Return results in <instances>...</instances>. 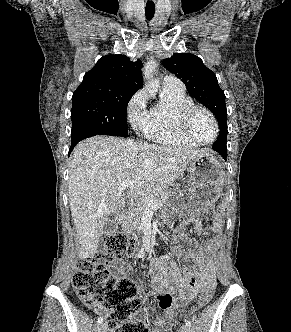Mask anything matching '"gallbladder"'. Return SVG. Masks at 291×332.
<instances>
[{"label": "gallbladder", "mask_w": 291, "mask_h": 332, "mask_svg": "<svg viewBox=\"0 0 291 332\" xmlns=\"http://www.w3.org/2000/svg\"><path fill=\"white\" fill-rule=\"evenodd\" d=\"M118 229V220L116 213H111L105 220L103 226V234L112 235L115 234Z\"/></svg>", "instance_id": "gallbladder-1"}]
</instances>
